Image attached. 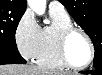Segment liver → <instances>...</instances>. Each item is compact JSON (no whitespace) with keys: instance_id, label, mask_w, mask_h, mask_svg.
Masks as SVG:
<instances>
[{"instance_id":"obj_1","label":"liver","mask_w":102,"mask_h":75,"mask_svg":"<svg viewBox=\"0 0 102 75\" xmlns=\"http://www.w3.org/2000/svg\"><path fill=\"white\" fill-rule=\"evenodd\" d=\"M0 75H63L60 72L47 70L34 65H2Z\"/></svg>"}]
</instances>
